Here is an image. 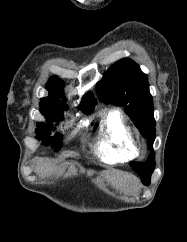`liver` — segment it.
<instances>
[{"label": "liver", "mask_w": 187, "mask_h": 242, "mask_svg": "<svg viewBox=\"0 0 187 242\" xmlns=\"http://www.w3.org/2000/svg\"><path fill=\"white\" fill-rule=\"evenodd\" d=\"M53 170L54 169L52 164L48 161L38 162L35 168V172L41 177H45L51 174ZM104 176L113 185H115L117 188L122 189L124 191L130 190L133 187V185L136 183V179L134 176L121 171L105 172Z\"/></svg>", "instance_id": "1"}]
</instances>
